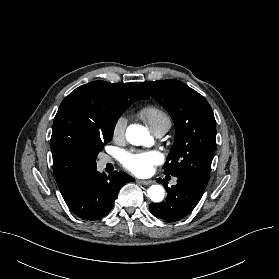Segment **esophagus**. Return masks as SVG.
Here are the masks:
<instances>
[{"instance_id": "obj_1", "label": "esophagus", "mask_w": 279, "mask_h": 279, "mask_svg": "<svg viewBox=\"0 0 279 279\" xmlns=\"http://www.w3.org/2000/svg\"><path fill=\"white\" fill-rule=\"evenodd\" d=\"M139 182L143 185H150V184L154 183V181H152V180H140Z\"/></svg>"}]
</instances>
